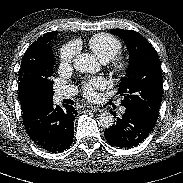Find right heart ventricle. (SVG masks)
<instances>
[{"instance_id":"obj_1","label":"right heart ventricle","mask_w":183,"mask_h":183,"mask_svg":"<svg viewBox=\"0 0 183 183\" xmlns=\"http://www.w3.org/2000/svg\"><path fill=\"white\" fill-rule=\"evenodd\" d=\"M87 44L93 53L102 61L107 62L117 55L121 48V41L108 33H97L92 35Z\"/></svg>"}]
</instances>
